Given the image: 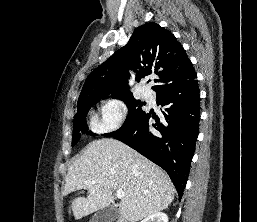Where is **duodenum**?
<instances>
[{
	"label": "duodenum",
	"mask_w": 257,
	"mask_h": 222,
	"mask_svg": "<svg viewBox=\"0 0 257 222\" xmlns=\"http://www.w3.org/2000/svg\"><path fill=\"white\" fill-rule=\"evenodd\" d=\"M116 222H128V221H127V219L124 218V217H118V218L116 219Z\"/></svg>",
	"instance_id": "410a0bca"
}]
</instances>
